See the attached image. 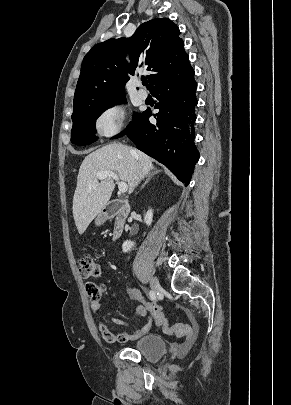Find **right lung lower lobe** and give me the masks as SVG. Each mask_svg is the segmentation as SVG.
Wrapping results in <instances>:
<instances>
[{"label":"right lung lower lobe","mask_w":291,"mask_h":405,"mask_svg":"<svg viewBox=\"0 0 291 405\" xmlns=\"http://www.w3.org/2000/svg\"><path fill=\"white\" fill-rule=\"evenodd\" d=\"M196 87L194 70L160 83L151 92L159 100L155 106L159 112L144 111L126 133L139 150L164 164L186 186L199 160L194 143ZM151 115L155 124L149 121Z\"/></svg>","instance_id":"1"}]
</instances>
